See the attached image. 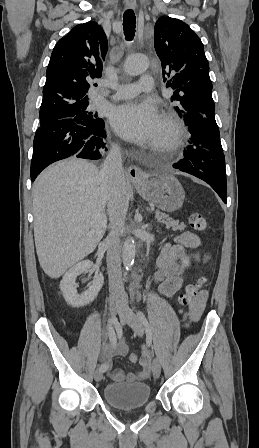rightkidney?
I'll return each instance as SVG.
<instances>
[{"label": "right kidney", "mask_w": 259, "mask_h": 448, "mask_svg": "<svg viewBox=\"0 0 259 448\" xmlns=\"http://www.w3.org/2000/svg\"><path fill=\"white\" fill-rule=\"evenodd\" d=\"M93 268V262L84 260V262H79V264L70 268L65 276H63V280L60 282V290L64 296L65 302H67L69 306H72V308L86 306V304H90V302H93L96 296H98L104 282L103 274H101V272L98 276H95L93 284L88 290H85L82 294H78L76 290V288H78V284H75L77 276L84 274V272H88V270H93Z\"/></svg>", "instance_id": "obj_1"}]
</instances>
